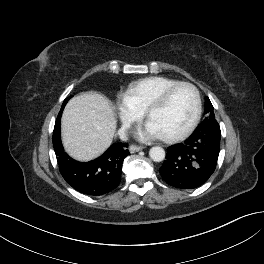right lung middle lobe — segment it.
I'll return each instance as SVG.
<instances>
[{
    "label": "right lung middle lobe",
    "instance_id": "1",
    "mask_svg": "<svg viewBox=\"0 0 264 264\" xmlns=\"http://www.w3.org/2000/svg\"><path fill=\"white\" fill-rule=\"evenodd\" d=\"M71 97L67 98L64 100L63 102V105H62V108H61V111L63 110L64 106L66 105V103L68 102V100L70 99Z\"/></svg>",
    "mask_w": 264,
    "mask_h": 264
}]
</instances>
